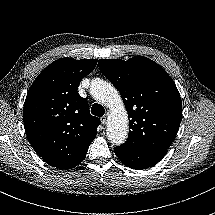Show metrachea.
<instances>
[{"mask_svg":"<svg viewBox=\"0 0 215 215\" xmlns=\"http://www.w3.org/2000/svg\"><path fill=\"white\" fill-rule=\"evenodd\" d=\"M91 112L93 115H95L97 117H101L104 115L105 109L102 105L95 103L91 108Z\"/></svg>","mask_w":215,"mask_h":215,"instance_id":"trachea-1","label":"trachea"}]
</instances>
